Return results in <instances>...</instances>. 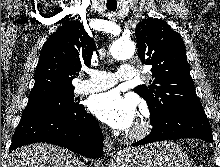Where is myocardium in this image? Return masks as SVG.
<instances>
[{"label":"myocardium","instance_id":"myocardium-1","mask_svg":"<svg viewBox=\"0 0 220 167\" xmlns=\"http://www.w3.org/2000/svg\"><path fill=\"white\" fill-rule=\"evenodd\" d=\"M152 129L151 120L148 117H142L138 120L129 137L133 140H140L146 137Z\"/></svg>","mask_w":220,"mask_h":167}]
</instances>
